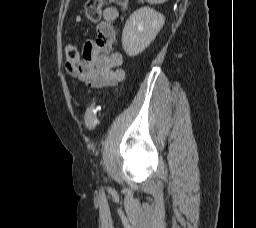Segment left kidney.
<instances>
[{"label":"left kidney","mask_w":256,"mask_h":228,"mask_svg":"<svg viewBox=\"0 0 256 228\" xmlns=\"http://www.w3.org/2000/svg\"><path fill=\"white\" fill-rule=\"evenodd\" d=\"M165 17L150 7L131 14L122 33V46L129 56L143 52L163 27Z\"/></svg>","instance_id":"5707ae66"}]
</instances>
